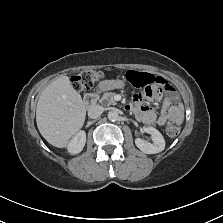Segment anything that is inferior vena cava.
I'll use <instances>...</instances> for the list:
<instances>
[{"label":"inferior vena cava","mask_w":223,"mask_h":223,"mask_svg":"<svg viewBox=\"0 0 223 223\" xmlns=\"http://www.w3.org/2000/svg\"><path fill=\"white\" fill-rule=\"evenodd\" d=\"M104 111V108L100 105L90 106L88 109V116L92 119L99 117Z\"/></svg>","instance_id":"inferior-vena-cava-1"}]
</instances>
